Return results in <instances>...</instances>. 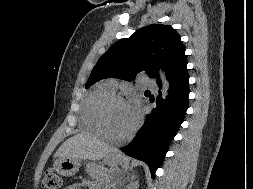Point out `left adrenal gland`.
I'll list each match as a JSON object with an SVG mask.
<instances>
[{
  "mask_svg": "<svg viewBox=\"0 0 253 189\" xmlns=\"http://www.w3.org/2000/svg\"><path fill=\"white\" fill-rule=\"evenodd\" d=\"M134 177H135V176L133 175L132 178H134ZM113 188H116V187H114V185H113Z\"/></svg>",
  "mask_w": 253,
  "mask_h": 189,
  "instance_id": "1",
  "label": "left adrenal gland"
}]
</instances>
